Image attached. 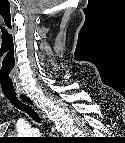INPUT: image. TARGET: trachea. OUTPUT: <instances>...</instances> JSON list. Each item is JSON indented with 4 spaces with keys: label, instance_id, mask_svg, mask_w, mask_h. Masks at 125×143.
Wrapping results in <instances>:
<instances>
[{
    "label": "trachea",
    "instance_id": "1",
    "mask_svg": "<svg viewBox=\"0 0 125 143\" xmlns=\"http://www.w3.org/2000/svg\"><path fill=\"white\" fill-rule=\"evenodd\" d=\"M5 97L10 101L12 105H14L17 109L24 111L28 115H30L34 120L39 121V116L37 112L28 104L21 102L16 95H6Z\"/></svg>",
    "mask_w": 125,
    "mask_h": 143
}]
</instances>
